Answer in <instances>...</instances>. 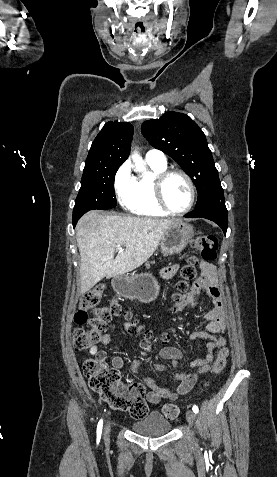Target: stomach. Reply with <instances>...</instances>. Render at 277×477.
Here are the masks:
<instances>
[{
  "mask_svg": "<svg viewBox=\"0 0 277 477\" xmlns=\"http://www.w3.org/2000/svg\"><path fill=\"white\" fill-rule=\"evenodd\" d=\"M194 236L193 226L183 220H176L164 232L160 248L164 255L180 253ZM114 290L127 298L137 299L142 303L155 300L159 294L157 281L147 273L133 276H118L112 280Z\"/></svg>",
  "mask_w": 277,
  "mask_h": 477,
  "instance_id": "stomach-1",
  "label": "stomach"
}]
</instances>
